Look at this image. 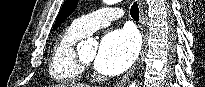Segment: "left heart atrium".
<instances>
[{
  "label": "left heart atrium",
  "mask_w": 205,
  "mask_h": 87,
  "mask_svg": "<svg viewBox=\"0 0 205 87\" xmlns=\"http://www.w3.org/2000/svg\"><path fill=\"white\" fill-rule=\"evenodd\" d=\"M139 46V39L134 31H111L101 40L94 62L95 68L105 75L119 74L134 62Z\"/></svg>",
  "instance_id": "obj_1"
}]
</instances>
